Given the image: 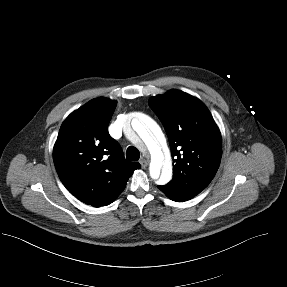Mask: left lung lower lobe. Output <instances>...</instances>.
<instances>
[{
    "instance_id": "obj_1",
    "label": "left lung lower lobe",
    "mask_w": 287,
    "mask_h": 287,
    "mask_svg": "<svg viewBox=\"0 0 287 287\" xmlns=\"http://www.w3.org/2000/svg\"><path fill=\"white\" fill-rule=\"evenodd\" d=\"M158 188L173 201L183 202V201H187V200L191 199V198L179 193L178 191L168 187L167 185L158 186Z\"/></svg>"
}]
</instances>
